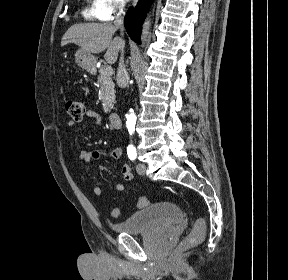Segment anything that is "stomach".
<instances>
[{
  "instance_id": "stomach-1",
  "label": "stomach",
  "mask_w": 288,
  "mask_h": 280,
  "mask_svg": "<svg viewBox=\"0 0 288 280\" xmlns=\"http://www.w3.org/2000/svg\"><path fill=\"white\" fill-rule=\"evenodd\" d=\"M75 62L85 70L92 71L96 65V58L82 49H78L75 53Z\"/></svg>"
}]
</instances>
